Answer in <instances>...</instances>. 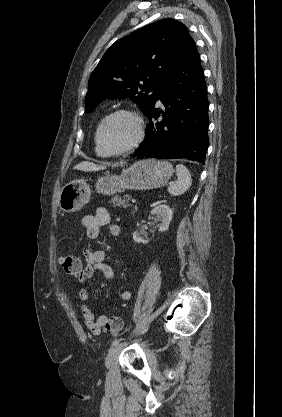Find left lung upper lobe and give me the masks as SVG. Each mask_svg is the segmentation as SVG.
<instances>
[{
	"label": "left lung upper lobe",
	"instance_id": "5c2ea615",
	"mask_svg": "<svg viewBox=\"0 0 282 417\" xmlns=\"http://www.w3.org/2000/svg\"><path fill=\"white\" fill-rule=\"evenodd\" d=\"M192 42L186 26L170 18L119 39L90 76L86 112L104 99L129 97L146 115L172 64Z\"/></svg>",
	"mask_w": 282,
	"mask_h": 417
}]
</instances>
